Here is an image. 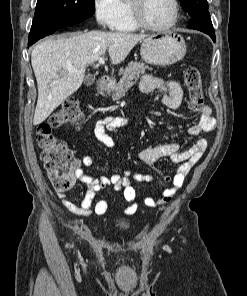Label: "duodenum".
Returning <instances> with one entry per match:
<instances>
[{
    "instance_id": "obj_1",
    "label": "duodenum",
    "mask_w": 247,
    "mask_h": 296,
    "mask_svg": "<svg viewBox=\"0 0 247 296\" xmlns=\"http://www.w3.org/2000/svg\"><path fill=\"white\" fill-rule=\"evenodd\" d=\"M102 84L105 90H110L112 88V83L109 80H103Z\"/></svg>"
}]
</instances>
